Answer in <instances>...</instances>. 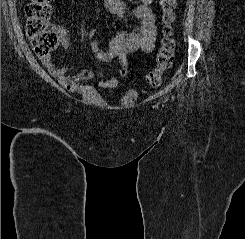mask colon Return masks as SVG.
<instances>
[{"mask_svg":"<svg viewBox=\"0 0 245 239\" xmlns=\"http://www.w3.org/2000/svg\"><path fill=\"white\" fill-rule=\"evenodd\" d=\"M52 0H31L25 6L27 16L26 35L39 57L50 56L57 48L59 38L49 21L52 17ZM163 21V36L156 56V65L146 75L149 86L161 85L162 76L173 63L175 52V13L177 0H160Z\"/></svg>","mask_w":245,"mask_h":239,"instance_id":"obj_1","label":"colon"}]
</instances>
